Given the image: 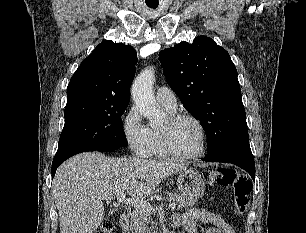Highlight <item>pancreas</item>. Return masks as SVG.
Instances as JSON below:
<instances>
[{
    "label": "pancreas",
    "instance_id": "obj_1",
    "mask_svg": "<svg viewBox=\"0 0 306 233\" xmlns=\"http://www.w3.org/2000/svg\"><path fill=\"white\" fill-rule=\"evenodd\" d=\"M168 200L176 202L178 209H183L195 204L196 199L188 198L176 193L166 192ZM132 233H157L156 224L152 217V212H144L140 209H135L131 216Z\"/></svg>",
    "mask_w": 306,
    "mask_h": 233
}]
</instances>
